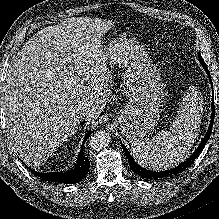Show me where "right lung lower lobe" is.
Masks as SVG:
<instances>
[{
  "label": "right lung lower lobe",
  "instance_id": "98d812e1",
  "mask_svg": "<svg viewBox=\"0 0 219 219\" xmlns=\"http://www.w3.org/2000/svg\"><path fill=\"white\" fill-rule=\"evenodd\" d=\"M91 131L85 136L84 142L91 135ZM90 168L89 160L84 156L83 150L80 151L77 164L74 169L68 172H49L42 173L31 170L36 176L40 177L43 180L57 182V183H65V184H73L80 182L88 173Z\"/></svg>",
  "mask_w": 219,
  "mask_h": 219
}]
</instances>
